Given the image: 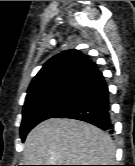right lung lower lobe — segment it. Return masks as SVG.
Here are the masks:
<instances>
[{"instance_id": "obj_1", "label": "right lung lower lobe", "mask_w": 135, "mask_h": 166, "mask_svg": "<svg viewBox=\"0 0 135 166\" xmlns=\"http://www.w3.org/2000/svg\"><path fill=\"white\" fill-rule=\"evenodd\" d=\"M68 87L72 98L56 117L85 121L112 133L109 90L102 73L97 69Z\"/></svg>"}]
</instances>
